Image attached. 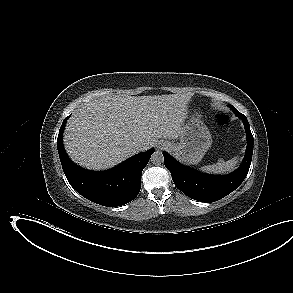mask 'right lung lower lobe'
I'll use <instances>...</instances> for the list:
<instances>
[{
	"mask_svg": "<svg viewBox=\"0 0 293 293\" xmlns=\"http://www.w3.org/2000/svg\"><path fill=\"white\" fill-rule=\"evenodd\" d=\"M67 119L61 125L57 148L70 185L86 199L103 206L116 207L132 201L140 191L142 170L154 153V148L134 155L112 169L87 171L73 164L64 149L62 133Z\"/></svg>",
	"mask_w": 293,
	"mask_h": 293,
	"instance_id": "right-lung-lower-lobe-1",
	"label": "right lung lower lobe"
}]
</instances>
